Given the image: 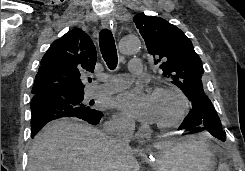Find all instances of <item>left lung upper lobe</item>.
Segmentation results:
<instances>
[{"mask_svg":"<svg viewBox=\"0 0 245 171\" xmlns=\"http://www.w3.org/2000/svg\"><path fill=\"white\" fill-rule=\"evenodd\" d=\"M133 21L162 75L172 80L189 100L205 93L202 61L183 31L160 17L137 14Z\"/></svg>","mask_w":245,"mask_h":171,"instance_id":"1","label":"left lung upper lobe"}]
</instances>
